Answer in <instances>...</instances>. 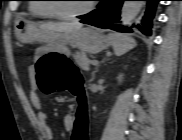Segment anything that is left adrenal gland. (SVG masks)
Listing matches in <instances>:
<instances>
[{
	"label": "left adrenal gland",
	"mask_w": 182,
	"mask_h": 140,
	"mask_svg": "<svg viewBox=\"0 0 182 140\" xmlns=\"http://www.w3.org/2000/svg\"><path fill=\"white\" fill-rule=\"evenodd\" d=\"M104 62V60L102 61ZM98 71V66H96L95 70L92 72V80L95 78V73Z\"/></svg>",
	"instance_id": "1"
}]
</instances>
